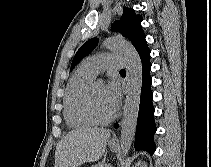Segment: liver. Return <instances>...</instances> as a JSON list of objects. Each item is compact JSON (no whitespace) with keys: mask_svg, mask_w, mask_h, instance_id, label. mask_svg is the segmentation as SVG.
<instances>
[{"mask_svg":"<svg viewBox=\"0 0 211 167\" xmlns=\"http://www.w3.org/2000/svg\"><path fill=\"white\" fill-rule=\"evenodd\" d=\"M111 131L104 128L72 130L57 144L54 167H78L102 158Z\"/></svg>","mask_w":211,"mask_h":167,"instance_id":"liver-1","label":"liver"}]
</instances>
